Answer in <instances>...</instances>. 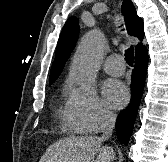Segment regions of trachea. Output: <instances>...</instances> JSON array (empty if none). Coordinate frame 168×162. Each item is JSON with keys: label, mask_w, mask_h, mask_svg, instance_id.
Returning <instances> with one entry per match:
<instances>
[{"label": "trachea", "mask_w": 168, "mask_h": 162, "mask_svg": "<svg viewBox=\"0 0 168 162\" xmlns=\"http://www.w3.org/2000/svg\"><path fill=\"white\" fill-rule=\"evenodd\" d=\"M133 59H134V49L131 46L129 49L125 51V60L130 66H133Z\"/></svg>", "instance_id": "trachea-1"}]
</instances>
